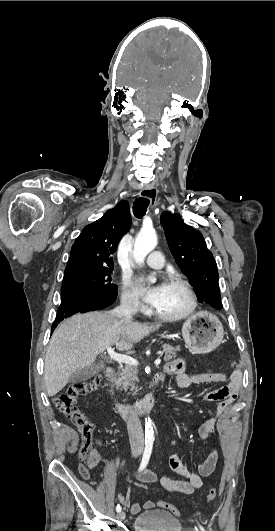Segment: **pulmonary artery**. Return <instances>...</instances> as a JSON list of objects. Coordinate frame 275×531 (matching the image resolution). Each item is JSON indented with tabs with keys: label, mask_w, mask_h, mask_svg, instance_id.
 <instances>
[{
	"label": "pulmonary artery",
	"mask_w": 275,
	"mask_h": 531,
	"mask_svg": "<svg viewBox=\"0 0 275 531\" xmlns=\"http://www.w3.org/2000/svg\"><path fill=\"white\" fill-rule=\"evenodd\" d=\"M147 262L148 264H150V268L151 270L154 268V267H158L159 269L161 268V265L163 264L164 262V257L162 254H159L158 252H155L151 258L147 259Z\"/></svg>",
	"instance_id": "obj_1"
}]
</instances>
